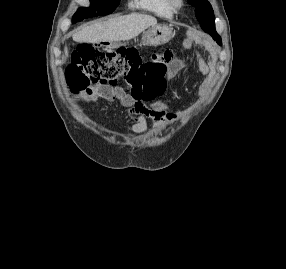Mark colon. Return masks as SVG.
Instances as JSON below:
<instances>
[{"instance_id": "obj_1", "label": "colon", "mask_w": 286, "mask_h": 269, "mask_svg": "<svg viewBox=\"0 0 286 269\" xmlns=\"http://www.w3.org/2000/svg\"><path fill=\"white\" fill-rule=\"evenodd\" d=\"M171 57L172 53L166 51L157 54L153 61H144L133 48L106 52L90 43H80L69 69L68 83L74 92L123 84L136 97H157L166 88L168 66L164 60Z\"/></svg>"}]
</instances>
